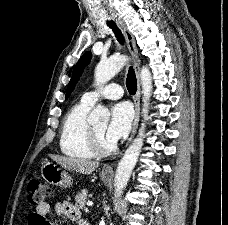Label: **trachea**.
<instances>
[{
    "label": "trachea",
    "instance_id": "obj_1",
    "mask_svg": "<svg viewBox=\"0 0 228 225\" xmlns=\"http://www.w3.org/2000/svg\"><path fill=\"white\" fill-rule=\"evenodd\" d=\"M109 27L112 28L114 34L117 37V40L120 42V44H123L124 38L121 33V30L117 28L116 24L113 21L108 22ZM126 86L128 89V92L131 94H135L137 90V80H136V75L132 67L129 68L127 78H126Z\"/></svg>",
    "mask_w": 228,
    "mask_h": 225
}]
</instances>
